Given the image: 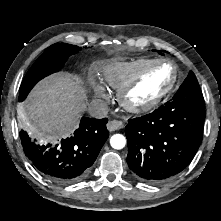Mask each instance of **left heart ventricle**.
<instances>
[{"label":"left heart ventricle","mask_w":221,"mask_h":221,"mask_svg":"<svg viewBox=\"0 0 221 221\" xmlns=\"http://www.w3.org/2000/svg\"><path fill=\"white\" fill-rule=\"evenodd\" d=\"M171 74L168 66L154 67L132 91L131 98L137 102L151 99L166 87Z\"/></svg>","instance_id":"b2bd125f"}]
</instances>
